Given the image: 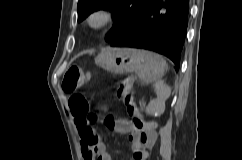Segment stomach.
Returning <instances> with one entry per match:
<instances>
[{"mask_svg": "<svg viewBox=\"0 0 242 160\" xmlns=\"http://www.w3.org/2000/svg\"><path fill=\"white\" fill-rule=\"evenodd\" d=\"M154 53L132 48H113L102 51L95 59L96 65L115 74L136 72L144 82H151Z\"/></svg>", "mask_w": 242, "mask_h": 160, "instance_id": "obj_1", "label": "stomach"}]
</instances>
